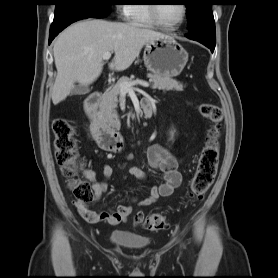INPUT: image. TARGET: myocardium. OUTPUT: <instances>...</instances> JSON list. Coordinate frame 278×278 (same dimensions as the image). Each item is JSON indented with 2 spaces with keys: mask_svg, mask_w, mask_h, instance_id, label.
Segmentation results:
<instances>
[{
  "mask_svg": "<svg viewBox=\"0 0 278 278\" xmlns=\"http://www.w3.org/2000/svg\"><path fill=\"white\" fill-rule=\"evenodd\" d=\"M181 7H182L181 17H180L179 21H177L175 24L167 25V24L163 23L157 15V6L155 4L149 5L150 18L156 26H159L163 29H167V30L177 29L179 26L182 25V23L184 22V20L186 18V15H187V6L185 4H181Z\"/></svg>",
  "mask_w": 278,
  "mask_h": 278,
  "instance_id": "myocardium-1",
  "label": "myocardium"
}]
</instances>
